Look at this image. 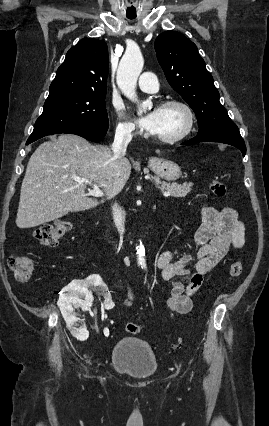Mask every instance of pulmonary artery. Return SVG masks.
I'll return each mask as SVG.
<instances>
[{"instance_id":"e3ab8cb5","label":"pulmonary artery","mask_w":269,"mask_h":426,"mask_svg":"<svg viewBox=\"0 0 269 426\" xmlns=\"http://www.w3.org/2000/svg\"><path fill=\"white\" fill-rule=\"evenodd\" d=\"M138 86L145 92H156L158 90L157 77L152 72H144L138 79Z\"/></svg>"}]
</instances>
